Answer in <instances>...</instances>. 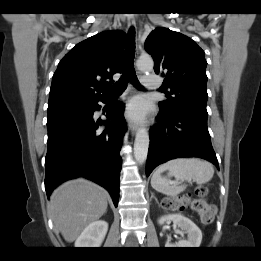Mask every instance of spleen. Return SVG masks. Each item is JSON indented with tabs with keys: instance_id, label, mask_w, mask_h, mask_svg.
Returning a JSON list of instances; mask_svg holds the SVG:
<instances>
[{
	"instance_id": "obj_1",
	"label": "spleen",
	"mask_w": 261,
	"mask_h": 261,
	"mask_svg": "<svg viewBox=\"0 0 261 261\" xmlns=\"http://www.w3.org/2000/svg\"><path fill=\"white\" fill-rule=\"evenodd\" d=\"M165 171H168L167 176H162ZM213 175L214 168L210 162L196 158H178L170 160L156 169L151 178V186L162 194L176 196L185 187L180 186L178 182H172L171 177H175L177 181L194 180L197 184H204L209 182Z\"/></svg>"
}]
</instances>
